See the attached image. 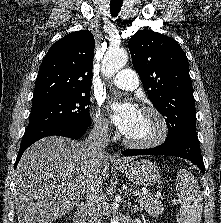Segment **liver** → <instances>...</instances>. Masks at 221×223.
Masks as SVG:
<instances>
[{
  "label": "liver",
  "mask_w": 221,
  "mask_h": 223,
  "mask_svg": "<svg viewBox=\"0 0 221 223\" xmlns=\"http://www.w3.org/2000/svg\"><path fill=\"white\" fill-rule=\"evenodd\" d=\"M91 161L84 141L51 136L31 145L14 176L18 223H52L77 207L84 198ZM109 174L104 153L99 176Z\"/></svg>",
  "instance_id": "obj_1"
}]
</instances>
